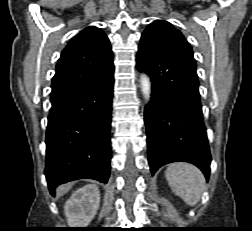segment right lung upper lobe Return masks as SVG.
Returning a JSON list of instances; mask_svg holds the SVG:
<instances>
[{
    "label": "right lung upper lobe",
    "instance_id": "cb5924a9",
    "mask_svg": "<svg viewBox=\"0 0 252 231\" xmlns=\"http://www.w3.org/2000/svg\"><path fill=\"white\" fill-rule=\"evenodd\" d=\"M113 72L109 39L100 28L87 27L72 38L61 53L51 84V101Z\"/></svg>",
    "mask_w": 252,
    "mask_h": 231
}]
</instances>
